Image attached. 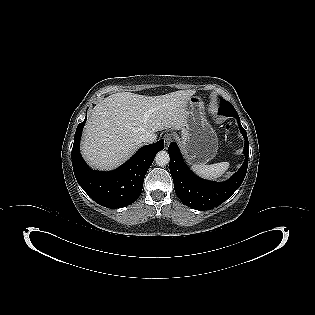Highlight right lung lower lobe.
I'll use <instances>...</instances> for the list:
<instances>
[{
  "instance_id": "obj_1",
  "label": "right lung lower lobe",
  "mask_w": 315,
  "mask_h": 315,
  "mask_svg": "<svg viewBox=\"0 0 315 315\" xmlns=\"http://www.w3.org/2000/svg\"><path fill=\"white\" fill-rule=\"evenodd\" d=\"M86 119L76 129L72 165L78 184L98 204L122 208L135 202L142 191L146 172L156 154L164 149V140L140 148L126 163L109 171H93L83 160L79 142Z\"/></svg>"
}]
</instances>
